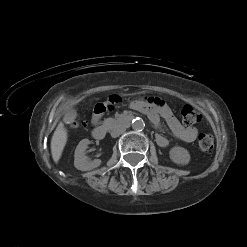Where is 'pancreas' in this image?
Instances as JSON below:
<instances>
[{"instance_id": "pancreas-1", "label": "pancreas", "mask_w": 247, "mask_h": 247, "mask_svg": "<svg viewBox=\"0 0 247 247\" xmlns=\"http://www.w3.org/2000/svg\"><path fill=\"white\" fill-rule=\"evenodd\" d=\"M111 120H112V119H105L104 122H103V124H104V125H107Z\"/></svg>"}]
</instances>
